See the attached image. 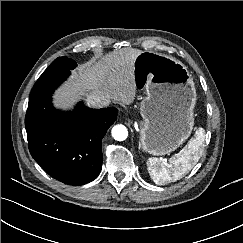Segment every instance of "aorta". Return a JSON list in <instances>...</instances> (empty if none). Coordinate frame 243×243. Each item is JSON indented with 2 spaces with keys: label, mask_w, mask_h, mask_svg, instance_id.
Returning <instances> with one entry per match:
<instances>
[{
  "label": "aorta",
  "mask_w": 243,
  "mask_h": 243,
  "mask_svg": "<svg viewBox=\"0 0 243 243\" xmlns=\"http://www.w3.org/2000/svg\"><path fill=\"white\" fill-rule=\"evenodd\" d=\"M112 137L117 141H124L128 137V130L124 125L118 124L112 128Z\"/></svg>",
  "instance_id": "762f6f07"
}]
</instances>
